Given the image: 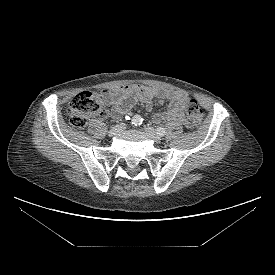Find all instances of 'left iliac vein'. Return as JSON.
<instances>
[{
	"label": "left iliac vein",
	"mask_w": 275,
	"mask_h": 275,
	"mask_svg": "<svg viewBox=\"0 0 275 275\" xmlns=\"http://www.w3.org/2000/svg\"><path fill=\"white\" fill-rule=\"evenodd\" d=\"M145 133L155 142L160 143L161 137L152 127H145L144 128Z\"/></svg>",
	"instance_id": "left-iliac-vein-1"
}]
</instances>
